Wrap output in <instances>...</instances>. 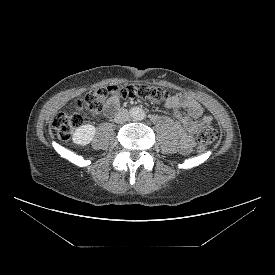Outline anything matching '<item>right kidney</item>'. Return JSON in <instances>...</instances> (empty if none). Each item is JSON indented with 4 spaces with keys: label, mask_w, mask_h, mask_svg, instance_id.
Returning <instances> with one entry per match:
<instances>
[{
    "label": "right kidney",
    "mask_w": 275,
    "mask_h": 275,
    "mask_svg": "<svg viewBox=\"0 0 275 275\" xmlns=\"http://www.w3.org/2000/svg\"><path fill=\"white\" fill-rule=\"evenodd\" d=\"M95 132L96 128L93 125H82L75 130L72 140L77 145L86 146L94 138Z\"/></svg>",
    "instance_id": "obj_1"
}]
</instances>
